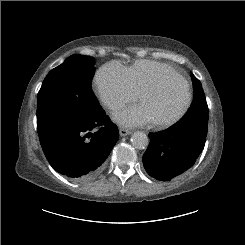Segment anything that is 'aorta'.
Listing matches in <instances>:
<instances>
[{"mask_svg":"<svg viewBox=\"0 0 245 245\" xmlns=\"http://www.w3.org/2000/svg\"><path fill=\"white\" fill-rule=\"evenodd\" d=\"M131 144L134 148L142 150L148 147L149 139L144 132L137 131L131 137Z\"/></svg>","mask_w":245,"mask_h":245,"instance_id":"1","label":"aorta"}]
</instances>
